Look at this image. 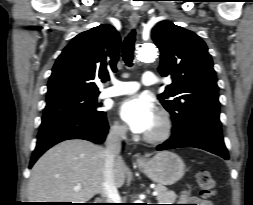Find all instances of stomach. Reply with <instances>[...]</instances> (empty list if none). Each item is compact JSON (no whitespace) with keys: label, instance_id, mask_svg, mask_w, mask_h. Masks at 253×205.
I'll return each instance as SVG.
<instances>
[{"label":"stomach","instance_id":"stomach-1","mask_svg":"<svg viewBox=\"0 0 253 205\" xmlns=\"http://www.w3.org/2000/svg\"><path fill=\"white\" fill-rule=\"evenodd\" d=\"M138 166L151 180L160 185H172L185 173L183 160L170 151L159 152Z\"/></svg>","mask_w":253,"mask_h":205}]
</instances>
